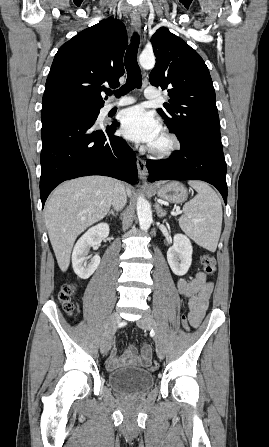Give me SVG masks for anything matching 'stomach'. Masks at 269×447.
<instances>
[{
	"instance_id": "0dacf381",
	"label": "stomach",
	"mask_w": 269,
	"mask_h": 447,
	"mask_svg": "<svg viewBox=\"0 0 269 447\" xmlns=\"http://www.w3.org/2000/svg\"><path fill=\"white\" fill-rule=\"evenodd\" d=\"M158 198L172 202V204H183L187 200V190L180 182H159L154 184Z\"/></svg>"
}]
</instances>
